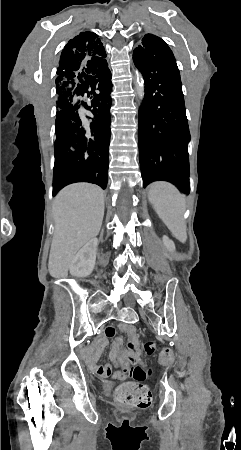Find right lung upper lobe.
<instances>
[{
    "label": "right lung upper lobe",
    "mask_w": 241,
    "mask_h": 450,
    "mask_svg": "<svg viewBox=\"0 0 241 450\" xmlns=\"http://www.w3.org/2000/svg\"><path fill=\"white\" fill-rule=\"evenodd\" d=\"M105 58L106 52L97 34L90 31L81 32L69 40L61 53L57 69V86L69 75L105 63ZM56 92L60 95L61 90L56 88Z\"/></svg>",
    "instance_id": "1"
}]
</instances>
